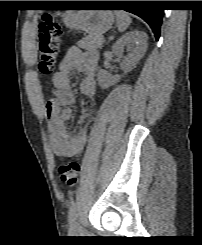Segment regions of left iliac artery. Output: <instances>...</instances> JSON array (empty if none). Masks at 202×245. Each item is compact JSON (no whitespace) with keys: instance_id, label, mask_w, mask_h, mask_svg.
Wrapping results in <instances>:
<instances>
[{"instance_id":"obj_1","label":"left iliac artery","mask_w":202,"mask_h":245,"mask_svg":"<svg viewBox=\"0 0 202 245\" xmlns=\"http://www.w3.org/2000/svg\"><path fill=\"white\" fill-rule=\"evenodd\" d=\"M75 219H76V203L72 202L68 211V221L71 226L73 225Z\"/></svg>"}]
</instances>
